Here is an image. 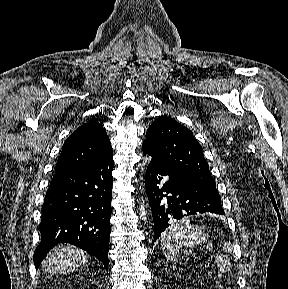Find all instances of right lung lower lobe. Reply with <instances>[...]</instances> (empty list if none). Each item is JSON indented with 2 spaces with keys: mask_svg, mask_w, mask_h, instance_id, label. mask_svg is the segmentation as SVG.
<instances>
[{
  "mask_svg": "<svg viewBox=\"0 0 288 289\" xmlns=\"http://www.w3.org/2000/svg\"><path fill=\"white\" fill-rule=\"evenodd\" d=\"M112 170L113 155L90 167L55 172L42 206L36 268L54 245L68 242L108 270Z\"/></svg>",
  "mask_w": 288,
  "mask_h": 289,
  "instance_id": "right-lung-lower-lobe-1",
  "label": "right lung lower lobe"
}]
</instances>
